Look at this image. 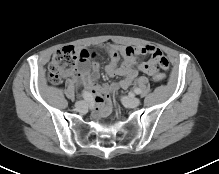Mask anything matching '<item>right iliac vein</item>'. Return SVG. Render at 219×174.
Masks as SVG:
<instances>
[{
  "label": "right iliac vein",
  "mask_w": 219,
  "mask_h": 174,
  "mask_svg": "<svg viewBox=\"0 0 219 174\" xmlns=\"http://www.w3.org/2000/svg\"><path fill=\"white\" fill-rule=\"evenodd\" d=\"M85 106H86V102L85 101H78V102H76V104H75V107L77 108V109H83V108H85Z\"/></svg>",
  "instance_id": "1"
}]
</instances>
